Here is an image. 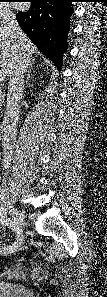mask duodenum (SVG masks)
Masks as SVG:
<instances>
[{
	"mask_svg": "<svg viewBox=\"0 0 107 297\" xmlns=\"http://www.w3.org/2000/svg\"><path fill=\"white\" fill-rule=\"evenodd\" d=\"M0 128H1L0 131H2V125H0ZM0 133H1V132H0Z\"/></svg>",
	"mask_w": 107,
	"mask_h": 297,
	"instance_id": "obj_1",
	"label": "duodenum"
}]
</instances>
